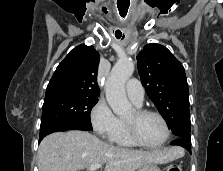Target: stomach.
<instances>
[{"label": "stomach", "mask_w": 223, "mask_h": 171, "mask_svg": "<svg viewBox=\"0 0 223 171\" xmlns=\"http://www.w3.org/2000/svg\"><path fill=\"white\" fill-rule=\"evenodd\" d=\"M138 171H161V170L154 163H149L140 167Z\"/></svg>", "instance_id": "0dacf381"}]
</instances>
